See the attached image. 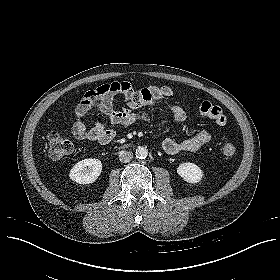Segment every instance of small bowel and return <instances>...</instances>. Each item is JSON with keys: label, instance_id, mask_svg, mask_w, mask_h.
Segmentation results:
<instances>
[{"label": "small bowel", "instance_id": "obj_1", "mask_svg": "<svg viewBox=\"0 0 280 280\" xmlns=\"http://www.w3.org/2000/svg\"><path fill=\"white\" fill-rule=\"evenodd\" d=\"M113 87H116L121 91H113ZM128 89H132L131 84L128 82H122L118 84L112 83L102 85L94 90L86 92L74 110L76 120L72 127L73 134L80 139H88L103 143L102 138L93 133L105 129L109 130L113 138L115 132L105 128L99 122L95 123L92 127H88L85 124L83 118L92 107H97L113 124H130L135 119L134 114L131 112L132 109L150 105L156 100L170 97L173 94V91L169 86H149L139 90L137 98L125 100V106L117 108L115 105V98L121 96L122 91ZM172 112L177 122H183L185 120L186 113L183 108L174 105L172 106ZM210 139L211 134L207 130H202L194 137L183 141L165 138L161 141V147L165 152L170 154L192 152L206 145Z\"/></svg>", "mask_w": 280, "mask_h": 280}]
</instances>
